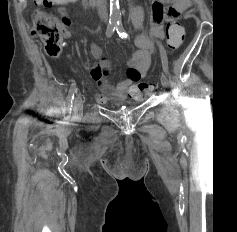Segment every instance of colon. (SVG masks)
Instances as JSON below:
<instances>
[{"instance_id": "1", "label": "colon", "mask_w": 237, "mask_h": 232, "mask_svg": "<svg viewBox=\"0 0 237 232\" xmlns=\"http://www.w3.org/2000/svg\"><path fill=\"white\" fill-rule=\"evenodd\" d=\"M43 7L53 5H63L65 0H38ZM33 26L31 33L38 37L43 43L44 50L48 56L56 57L60 54L65 37L64 27L70 24V19L66 13L62 23L50 15L43 8H36L32 15ZM184 39V28L178 21H171L166 27V42L170 51H176ZM147 87H150L146 84Z\"/></svg>"}]
</instances>
